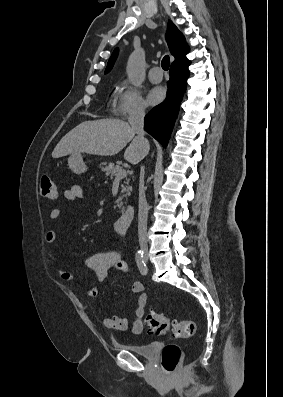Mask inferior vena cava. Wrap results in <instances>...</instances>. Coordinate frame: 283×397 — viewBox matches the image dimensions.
I'll list each match as a JSON object with an SVG mask.
<instances>
[{
    "mask_svg": "<svg viewBox=\"0 0 283 397\" xmlns=\"http://www.w3.org/2000/svg\"><path fill=\"white\" fill-rule=\"evenodd\" d=\"M131 128L136 132L137 136L140 137L145 143L148 141L145 139V131L143 128L144 121V110L142 107H137L130 115L128 119ZM144 173L145 168L141 166L140 170V187H139V211H138V237L139 245L142 249H147V219H148V205L145 197L144 189Z\"/></svg>",
    "mask_w": 283,
    "mask_h": 397,
    "instance_id": "obj_1",
    "label": "inferior vena cava"
}]
</instances>
